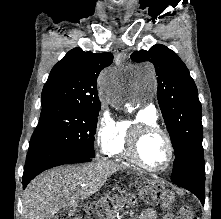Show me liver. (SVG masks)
<instances>
[{
    "instance_id": "6515ba94",
    "label": "liver",
    "mask_w": 221,
    "mask_h": 219,
    "mask_svg": "<svg viewBox=\"0 0 221 219\" xmlns=\"http://www.w3.org/2000/svg\"><path fill=\"white\" fill-rule=\"evenodd\" d=\"M122 168L111 161H99L40 174L24 191L23 219H50L62 208L75 207L79 200L99 191Z\"/></svg>"
}]
</instances>
